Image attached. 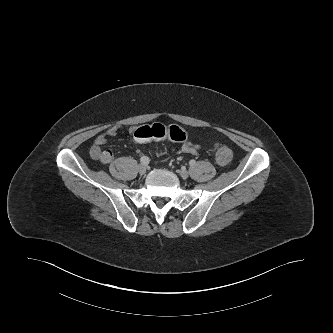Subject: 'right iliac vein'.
Segmentation results:
<instances>
[{
  "instance_id": "right-iliac-vein-1",
  "label": "right iliac vein",
  "mask_w": 333,
  "mask_h": 333,
  "mask_svg": "<svg viewBox=\"0 0 333 333\" xmlns=\"http://www.w3.org/2000/svg\"><path fill=\"white\" fill-rule=\"evenodd\" d=\"M138 171L142 175L145 174L147 172V166H146V164H140L138 166Z\"/></svg>"
}]
</instances>
